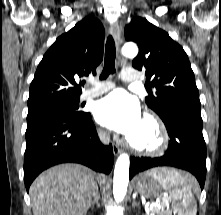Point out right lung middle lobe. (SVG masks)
Returning <instances> with one entry per match:
<instances>
[{
	"label": "right lung middle lobe",
	"mask_w": 221,
	"mask_h": 215,
	"mask_svg": "<svg viewBox=\"0 0 221 215\" xmlns=\"http://www.w3.org/2000/svg\"><path fill=\"white\" fill-rule=\"evenodd\" d=\"M79 99L53 102L44 105L28 107L27 123L34 122L42 117L55 114L78 116L84 112L78 111Z\"/></svg>",
	"instance_id": "obj_1"
}]
</instances>
